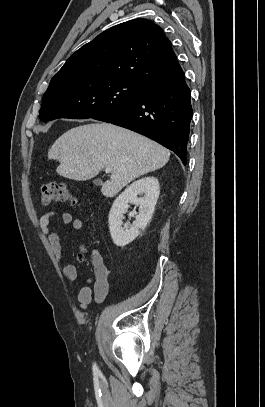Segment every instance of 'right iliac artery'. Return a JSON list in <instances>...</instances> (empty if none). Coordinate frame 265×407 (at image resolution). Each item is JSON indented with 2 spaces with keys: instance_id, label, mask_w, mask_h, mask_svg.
Segmentation results:
<instances>
[{
  "instance_id": "82829eb1",
  "label": "right iliac artery",
  "mask_w": 265,
  "mask_h": 407,
  "mask_svg": "<svg viewBox=\"0 0 265 407\" xmlns=\"http://www.w3.org/2000/svg\"><path fill=\"white\" fill-rule=\"evenodd\" d=\"M93 370H94L95 372H98V367L96 366V364L93 365Z\"/></svg>"
}]
</instances>
